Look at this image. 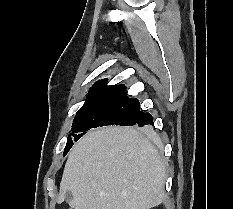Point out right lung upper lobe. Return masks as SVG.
I'll return each instance as SVG.
<instances>
[{"label": "right lung upper lobe", "mask_w": 233, "mask_h": 209, "mask_svg": "<svg viewBox=\"0 0 233 209\" xmlns=\"http://www.w3.org/2000/svg\"><path fill=\"white\" fill-rule=\"evenodd\" d=\"M139 103L137 99L127 96L125 85L107 86V80H101L89 90L85 105L96 103Z\"/></svg>", "instance_id": "right-lung-upper-lobe-1"}]
</instances>
